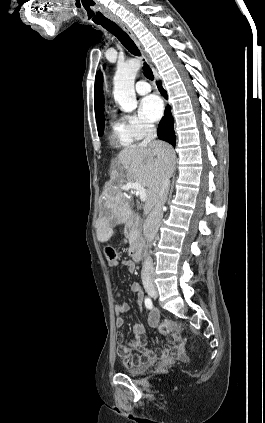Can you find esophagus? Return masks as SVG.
I'll return each mask as SVG.
<instances>
[{
  "instance_id": "esophagus-1",
  "label": "esophagus",
  "mask_w": 265,
  "mask_h": 423,
  "mask_svg": "<svg viewBox=\"0 0 265 423\" xmlns=\"http://www.w3.org/2000/svg\"><path fill=\"white\" fill-rule=\"evenodd\" d=\"M112 20L117 25H119L129 35V37L135 42L136 46L138 47V49L140 50V52L142 53V55L146 59L147 63L150 64L151 59H150L149 54L145 51L142 43L138 40V38L135 36L133 31L130 29V27L125 22H123L121 19H119L117 17H113Z\"/></svg>"
}]
</instances>
